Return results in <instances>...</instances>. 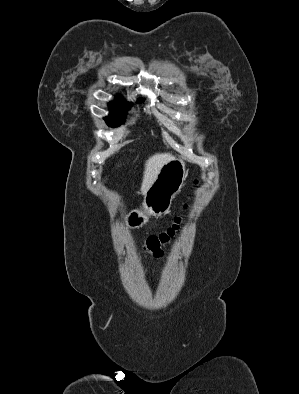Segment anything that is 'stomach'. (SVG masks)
<instances>
[{
	"mask_svg": "<svg viewBox=\"0 0 299 394\" xmlns=\"http://www.w3.org/2000/svg\"><path fill=\"white\" fill-rule=\"evenodd\" d=\"M186 176V164L183 160L172 158L167 161L145 193L142 208L131 210L125 216L126 227L139 228L150 216L159 217L168 213L172 200L184 185Z\"/></svg>",
	"mask_w": 299,
	"mask_h": 394,
	"instance_id": "0dacf381",
	"label": "stomach"
}]
</instances>
